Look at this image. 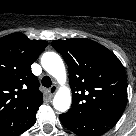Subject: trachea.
Masks as SVG:
<instances>
[{"mask_svg": "<svg viewBox=\"0 0 136 136\" xmlns=\"http://www.w3.org/2000/svg\"><path fill=\"white\" fill-rule=\"evenodd\" d=\"M41 83L44 87H50L52 84L51 78L49 76H44L41 80Z\"/></svg>", "mask_w": 136, "mask_h": 136, "instance_id": "obj_1", "label": "trachea"}]
</instances>
